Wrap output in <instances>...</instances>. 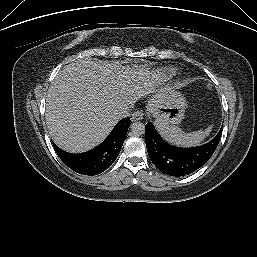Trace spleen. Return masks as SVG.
Instances as JSON below:
<instances>
[{
	"label": "spleen",
	"mask_w": 257,
	"mask_h": 257,
	"mask_svg": "<svg viewBox=\"0 0 257 257\" xmlns=\"http://www.w3.org/2000/svg\"><path fill=\"white\" fill-rule=\"evenodd\" d=\"M156 126L160 135L167 142L185 147L199 145L212 130V126H209L204 131L198 130L190 133H185L177 126Z\"/></svg>",
	"instance_id": "1"
}]
</instances>
